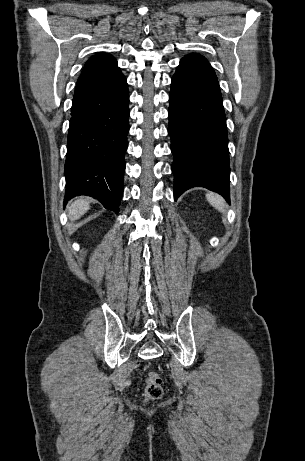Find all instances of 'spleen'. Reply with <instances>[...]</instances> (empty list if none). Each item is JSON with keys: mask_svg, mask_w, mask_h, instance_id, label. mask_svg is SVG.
<instances>
[{"mask_svg": "<svg viewBox=\"0 0 305 461\" xmlns=\"http://www.w3.org/2000/svg\"><path fill=\"white\" fill-rule=\"evenodd\" d=\"M206 198L213 207H215L219 211H222V212L225 211L224 209L225 202H224V199L220 195L209 192L206 194Z\"/></svg>", "mask_w": 305, "mask_h": 461, "instance_id": "obj_1", "label": "spleen"}]
</instances>
